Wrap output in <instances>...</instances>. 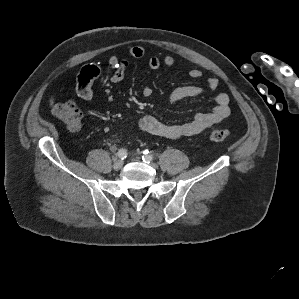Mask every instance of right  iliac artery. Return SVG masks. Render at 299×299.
Returning a JSON list of instances; mask_svg holds the SVG:
<instances>
[{
	"mask_svg": "<svg viewBox=\"0 0 299 299\" xmlns=\"http://www.w3.org/2000/svg\"><path fill=\"white\" fill-rule=\"evenodd\" d=\"M127 150L125 149H120L117 153L118 157L121 159V160H124L126 157H127Z\"/></svg>",
	"mask_w": 299,
	"mask_h": 299,
	"instance_id": "obj_1",
	"label": "right iliac artery"
}]
</instances>
